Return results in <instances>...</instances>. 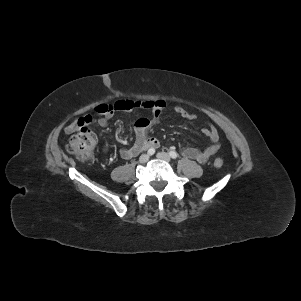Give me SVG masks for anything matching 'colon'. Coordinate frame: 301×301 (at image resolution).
<instances>
[{"label":"colon","instance_id":"5ec220e1","mask_svg":"<svg viewBox=\"0 0 301 301\" xmlns=\"http://www.w3.org/2000/svg\"><path fill=\"white\" fill-rule=\"evenodd\" d=\"M95 143L96 137L94 133L87 128H82L70 137L67 144V151L74 155L79 161L85 162L92 158ZM213 164L216 168H221L223 166V160L216 158Z\"/></svg>","mask_w":301,"mask_h":301}]
</instances>
